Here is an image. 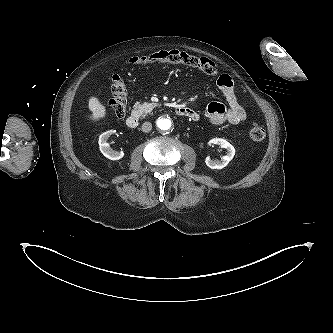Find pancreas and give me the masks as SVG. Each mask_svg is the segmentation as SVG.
Instances as JSON below:
<instances>
[{
  "label": "pancreas",
  "mask_w": 333,
  "mask_h": 333,
  "mask_svg": "<svg viewBox=\"0 0 333 333\" xmlns=\"http://www.w3.org/2000/svg\"><path fill=\"white\" fill-rule=\"evenodd\" d=\"M156 106H157L156 103H147V102H144V103L136 102L134 105L135 110L143 118L147 114H149L153 110V108H155Z\"/></svg>",
  "instance_id": "obj_1"
}]
</instances>
